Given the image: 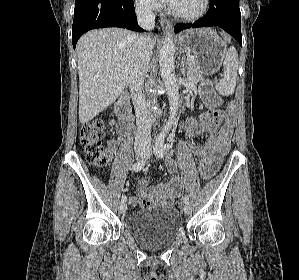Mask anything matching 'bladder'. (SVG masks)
Masks as SVG:
<instances>
[{
	"instance_id": "obj_1",
	"label": "bladder",
	"mask_w": 299,
	"mask_h": 280,
	"mask_svg": "<svg viewBox=\"0 0 299 280\" xmlns=\"http://www.w3.org/2000/svg\"><path fill=\"white\" fill-rule=\"evenodd\" d=\"M125 227L139 244L160 249L170 245L180 234L182 216L173 207L157 205L128 218Z\"/></svg>"
}]
</instances>
